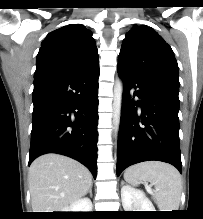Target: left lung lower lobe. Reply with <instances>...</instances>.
Here are the masks:
<instances>
[{"label":"left lung lower lobe","instance_id":"obj_1","mask_svg":"<svg viewBox=\"0 0 203 219\" xmlns=\"http://www.w3.org/2000/svg\"><path fill=\"white\" fill-rule=\"evenodd\" d=\"M124 90L117 146V176L130 165L157 160L182 172L179 86L139 75L121 65ZM135 88L134 92L131 90ZM138 97L139 100L134 101Z\"/></svg>","mask_w":203,"mask_h":219}]
</instances>
